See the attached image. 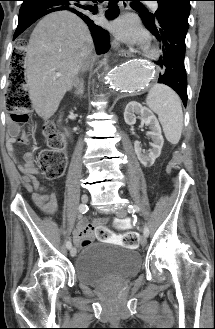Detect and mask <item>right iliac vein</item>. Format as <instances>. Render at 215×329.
Wrapping results in <instances>:
<instances>
[{
	"instance_id": "obj_1",
	"label": "right iliac vein",
	"mask_w": 215,
	"mask_h": 329,
	"mask_svg": "<svg viewBox=\"0 0 215 329\" xmlns=\"http://www.w3.org/2000/svg\"><path fill=\"white\" fill-rule=\"evenodd\" d=\"M81 201H82L83 204H86V203L88 202V196H87L86 194L82 195V197H81ZM76 253H77L76 248H75V247H72V248L70 249V255H71L72 257H75V256H76Z\"/></svg>"
}]
</instances>
